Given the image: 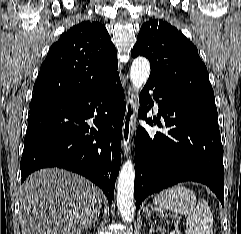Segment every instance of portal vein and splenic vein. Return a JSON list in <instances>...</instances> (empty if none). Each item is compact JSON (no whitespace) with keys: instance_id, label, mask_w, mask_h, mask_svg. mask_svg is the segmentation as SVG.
Returning a JSON list of instances; mask_svg holds the SVG:
<instances>
[{"instance_id":"1","label":"portal vein and splenic vein","mask_w":241,"mask_h":234,"mask_svg":"<svg viewBox=\"0 0 241 234\" xmlns=\"http://www.w3.org/2000/svg\"><path fill=\"white\" fill-rule=\"evenodd\" d=\"M170 234H175L174 232H170Z\"/></svg>"}]
</instances>
